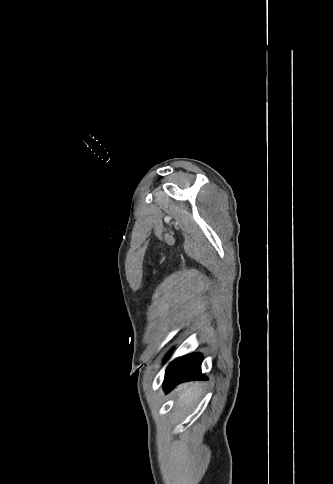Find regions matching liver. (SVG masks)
Listing matches in <instances>:
<instances>
[{"mask_svg": "<svg viewBox=\"0 0 333 484\" xmlns=\"http://www.w3.org/2000/svg\"><path fill=\"white\" fill-rule=\"evenodd\" d=\"M201 384L198 383H186L180 385L175 392L178 395V403L182 407H189L193 406L196 400L200 396V389Z\"/></svg>", "mask_w": 333, "mask_h": 484, "instance_id": "1", "label": "liver"}]
</instances>
